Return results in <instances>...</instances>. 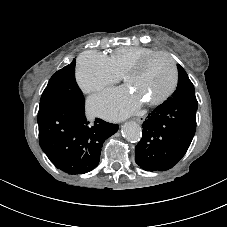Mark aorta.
Returning a JSON list of instances; mask_svg holds the SVG:
<instances>
[{"instance_id":"1","label":"aorta","mask_w":227,"mask_h":227,"mask_svg":"<svg viewBox=\"0 0 227 227\" xmlns=\"http://www.w3.org/2000/svg\"><path fill=\"white\" fill-rule=\"evenodd\" d=\"M122 134L127 140L138 142L142 137V129L137 123L130 121L122 126Z\"/></svg>"}]
</instances>
